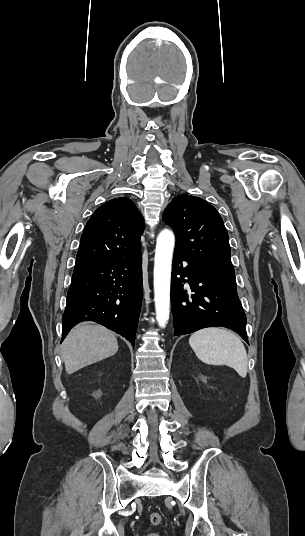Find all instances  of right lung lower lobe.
Returning <instances> with one entry per match:
<instances>
[{
  "label": "right lung lower lobe",
  "instance_id": "obj_1",
  "mask_svg": "<svg viewBox=\"0 0 305 536\" xmlns=\"http://www.w3.org/2000/svg\"><path fill=\"white\" fill-rule=\"evenodd\" d=\"M141 301V252L74 270L63 314L62 340L77 323L92 320L134 346Z\"/></svg>",
  "mask_w": 305,
  "mask_h": 536
}]
</instances>
